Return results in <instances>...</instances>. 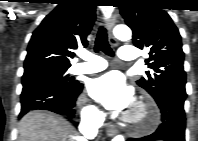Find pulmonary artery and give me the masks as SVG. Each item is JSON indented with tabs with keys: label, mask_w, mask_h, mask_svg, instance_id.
Masks as SVG:
<instances>
[{
	"label": "pulmonary artery",
	"mask_w": 198,
	"mask_h": 141,
	"mask_svg": "<svg viewBox=\"0 0 198 141\" xmlns=\"http://www.w3.org/2000/svg\"><path fill=\"white\" fill-rule=\"evenodd\" d=\"M79 56L85 60V62L73 65L70 68L72 74L95 73L107 67V62L94 54L82 52ZM119 57L126 62H134L137 58V49L131 45H125L120 49Z\"/></svg>",
	"instance_id": "obj_1"
}]
</instances>
